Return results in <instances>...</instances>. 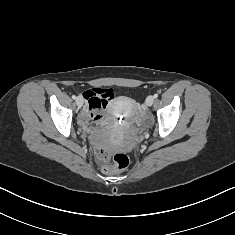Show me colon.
I'll list each match as a JSON object with an SVG mask.
<instances>
[{
  "mask_svg": "<svg viewBox=\"0 0 235 235\" xmlns=\"http://www.w3.org/2000/svg\"><path fill=\"white\" fill-rule=\"evenodd\" d=\"M113 96V92L111 90H106V93L102 95V104H106L107 100ZM97 161L102 164V171L104 173H114L117 171H121L130 163L129 157L126 154L118 153L113 156L112 163H109L110 156L107 151L104 149H98L96 152Z\"/></svg>",
  "mask_w": 235,
  "mask_h": 235,
  "instance_id": "obj_1",
  "label": "colon"
}]
</instances>
